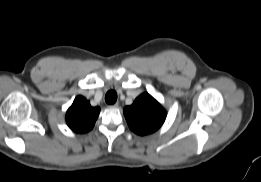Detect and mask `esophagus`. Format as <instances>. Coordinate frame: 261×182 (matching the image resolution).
<instances>
[{"instance_id":"1","label":"esophagus","mask_w":261,"mask_h":182,"mask_svg":"<svg viewBox=\"0 0 261 182\" xmlns=\"http://www.w3.org/2000/svg\"><path fill=\"white\" fill-rule=\"evenodd\" d=\"M118 106H119V103H114V104L110 105L109 107L110 108H117Z\"/></svg>"}]
</instances>
